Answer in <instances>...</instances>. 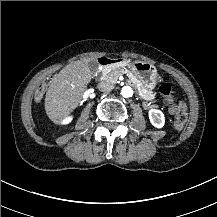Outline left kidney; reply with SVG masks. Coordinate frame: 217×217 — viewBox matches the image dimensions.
I'll return each mask as SVG.
<instances>
[{
  "instance_id": "1",
  "label": "left kidney",
  "mask_w": 217,
  "mask_h": 217,
  "mask_svg": "<svg viewBox=\"0 0 217 217\" xmlns=\"http://www.w3.org/2000/svg\"><path fill=\"white\" fill-rule=\"evenodd\" d=\"M149 119L151 124L156 128H162L165 123V117L162 111L157 109L149 110Z\"/></svg>"
}]
</instances>
